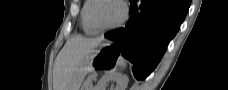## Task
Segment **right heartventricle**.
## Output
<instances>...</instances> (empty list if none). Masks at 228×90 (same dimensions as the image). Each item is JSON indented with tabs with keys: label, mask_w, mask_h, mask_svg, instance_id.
Masks as SVG:
<instances>
[{
	"label": "right heart ventricle",
	"mask_w": 228,
	"mask_h": 90,
	"mask_svg": "<svg viewBox=\"0 0 228 90\" xmlns=\"http://www.w3.org/2000/svg\"><path fill=\"white\" fill-rule=\"evenodd\" d=\"M93 2L94 0L84 1L80 12L82 29L88 35L97 33V31L93 28L89 20V12H90L91 6L93 5Z\"/></svg>",
	"instance_id": "right-heart-ventricle-1"
}]
</instances>
